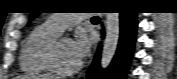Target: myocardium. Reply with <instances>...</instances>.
<instances>
[{
    "label": "myocardium",
    "instance_id": "f54148a6",
    "mask_svg": "<svg viewBox=\"0 0 177 79\" xmlns=\"http://www.w3.org/2000/svg\"><path fill=\"white\" fill-rule=\"evenodd\" d=\"M62 38H56L48 47L46 53V60L50 67V69L58 74L63 76H70L80 71L82 68V62L80 61L79 64L72 68V69H63L58 60V46L61 42Z\"/></svg>",
    "mask_w": 177,
    "mask_h": 79
}]
</instances>
